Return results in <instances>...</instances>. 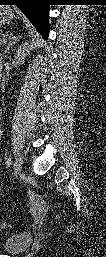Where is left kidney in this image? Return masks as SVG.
Wrapping results in <instances>:
<instances>
[{
	"label": "left kidney",
	"instance_id": "1",
	"mask_svg": "<svg viewBox=\"0 0 106 257\" xmlns=\"http://www.w3.org/2000/svg\"><path fill=\"white\" fill-rule=\"evenodd\" d=\"M26 44H24V45H22L23 47H20L19 49H18V51H17V53H16V56H15V59L18 61V63L20 62V63H24V61H25V58H26V53H25V51H26V46H25Z\"/></svg>",
	"mask_w": 106,
	"mask_h": 257
}]
</instances>
